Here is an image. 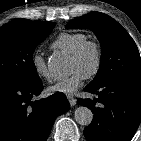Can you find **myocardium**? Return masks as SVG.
<instances>
[{
  "label": "myocardium",
  "instance_id": "1",
  "mask_svg": "<svg viewBox=\"0 0 141 141\" xmlns=\"http://www.w3.org/2000/svg\"><path fill=\"white\" fill-rule=\"evenodd\" d=\"M92 49L95 56V61L92 69L85 75L86 79L95 77L102 66L103 62V51L100 43L92 39H86L83 41L76 50L71 54V58L79 60L81 59L87 50Z\"/></svg>",
  "mask_w": 141,
  "mask_h": 141
}]
</instances>
